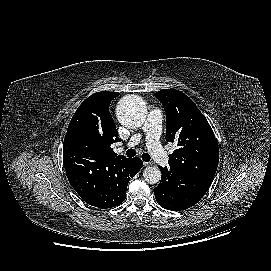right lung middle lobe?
<instances>
[{"mask_svg": "<svg viewBox=\"0 0 271 271\" xmlns=\"http://www.w3.org/2000/svg\"><path fill=\"white\" fill-rule=\"evenodd\" d=\"M72 146H73V149L82 150L83 148L82 140L80 138H77L76 140L73 141Z\"/></svg>", "mask_w": 271, "mask_h": 271, "instance_id": "1", "label": "right lung middle lobe"}]
</instances>
